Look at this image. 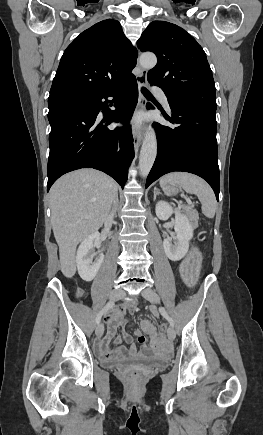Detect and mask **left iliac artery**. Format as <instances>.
<instances>
[{"instance_id": "44dca946", "label": "left iliac artery", "mask_w": 263, "mask_h": 435, "mask_svg": "<svg viewBox=\"0 0 263 435\" xmlns=\"http://www.w3.org/2000/svg\"><path fill=\"white\" fill-rule=\"evenodd\" d=\"M159 311L161 313V315L169 322L170 326L174 327V321L172 320V318L168 315V313L166 312V310L161 307L159 308Z\"/></svg>"}]
</instances>
